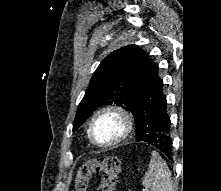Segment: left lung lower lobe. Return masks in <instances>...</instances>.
Here are the masks:
<instances>
[{
	"label": "left lung lower lobe",
	"instance_id": "left-lung-lower-lobe-1",
	"mask_svg": "<svg viewBox=\"0 0 221 191\" xmlns=\"http://www.w3.org/2000/svg\"><path fill=\"white\" fill-rule=\"evenodd\" d=\"M136 141H144L171 158V121L158 65L145 53L132 89Z\"/></svg>",
	"mask_w": 221,
	"mask_h": 191
}]
</instances>
